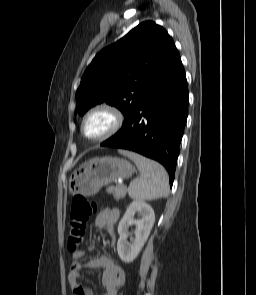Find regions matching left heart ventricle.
I'll use <instances>...</instances> for the list:
<instances>
[{
	"mask_svg": "<svg viewBox=\"0 0 256 295\" xmlns=\"http://www.w3.org/2000/svg\"><path fill=\"white\" fill-rule=\"evenodd\" d=\"M111 119L108 114L98 112L92 115L86 122L84 132L89 138H94L105 133L110 127Z\"/></svg>",
	"mask_w": 256,
	"mask_h": 295,
	"instance_id": "obj_1",
	"label": "left heart ventricle"
}]
</instances>
